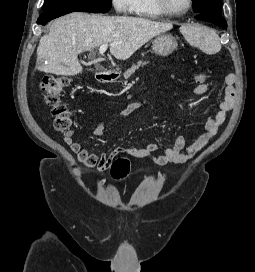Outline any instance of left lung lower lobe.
<instances>
[{
  "label": "left lung lower lobe",
  "mask_w": 255,
  "mask_h": 272,
  "mask_svg": "<svg viewBox=\"0 0 255 272\" xmlns=\"http://www.w3.org/2000/svg\"><path fill=\"white\" fill-rule=\"evenodd\" d=\"M195 18L199 19V20H205V21L214 23V24H216V25H218V26H220L222 28L227 27V22L221 16V13H217V12H214V11L202 12L201 14L196 16Z\"/></svg>",
  "instance_id": "1"
}]
</instances>
